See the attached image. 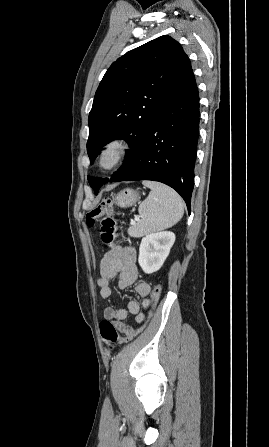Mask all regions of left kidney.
I'll return each mask as SVG.
<instances>
[{
  "label": "left kidney",
  "instance_id": "left-kidney-1",
  "mask_svg": "<svg viewBox=\"0 0 269 447\" xmlns=\"http://www.w3.org/2000/svg\"><path fill=\"white\" fill-rule=\"evenodd\" d=\"M175 241L173 231H157L142 237L139 247V265L145 273H153L163 265Z\"/></svg>",
  "mask_w": 269,
  "mask_h": 447
}]
</instances>
